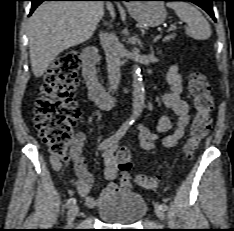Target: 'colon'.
Returning a JSON list of instances; mask_svg holds the SVG:
<instances>
[{"label": "colon", "instance_id": "1", "mask_svg": "<svg viewBox=\"0 0 234 231\" xmlns=\"http://www.w3.org/2000/svg\"><path fill=\"white\" fill-rule=\"evenodd\" d=\"M78 50H69L54 60L47 69L44 83L34 107V124L39 136L48 145L53 155L63 158L73 142L72 127L80 118V109L75 102L78 87V70L82 64ZM189 92L195 115L185 145L187 156L192 155L211 128L213 99L208 81L200 72L189 78ZM119 170L126 174L132 166V155L127 148L116 153ZM135 181L144 188H155L157 178L139 174Z\"/></svg>", "mask_w": 234, "mask_h": 231}]
</instances>
